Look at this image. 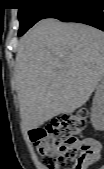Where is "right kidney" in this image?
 <instances>
[{
    "label": "right kidney",
    "instance_id": "1",
    "mask_svg": "<svg viewBox=\"0 0 104 169\" xmlns=\"http://www.w3.org/2000/svg\"><path fill=\"white\" fill-rule=\"evenodd\" d=\"M91 122L96 130L104 129V82L102 81L95 92L91 109Z\"/></svg>",
    "mask_w": 104,
    "mask_h": 169
}]
</instances>
